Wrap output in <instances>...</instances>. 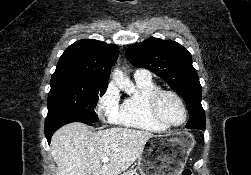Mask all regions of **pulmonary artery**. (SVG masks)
Masks as SVG:
<instances>
[{"instance_id":"obj_1","label":"pulmonary artery","mask_w":251,"mask_h":175,"mask_svg":"<svg viewBox=\"0 0 251 175\" xmlns=\"http://www.w3.org/2000/svg\"><path fill=\"white\" fill-rule=\"evenodd\" d=\"M133 76L136 81H152L151 73L146 70H137L134 72Z\"/></svg>"}]
</instances>
